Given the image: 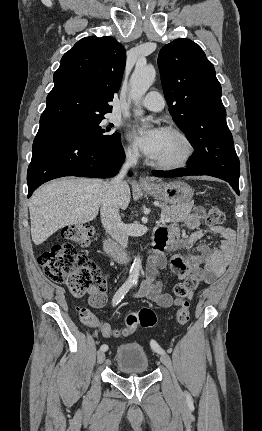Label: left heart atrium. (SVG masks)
I'll use <instances>...</instances> for the list:
<instances>
[{"label": "left heart atrium", "instance_id": "obj_1", "mask_svg": "<svg viewBox=\"0 0 262 431\" xmlns=\"http://www.w3.org/2000/svg\"><path fill=\"white\" fill-rule=\"evenodd\" d=\"M164 134L165 130L160 127L135 126L131 130L130 137L146 156L155 159L161 149Z\"/></svg>", "mask_w": 262, "mask_h": 431}]
</instances>
